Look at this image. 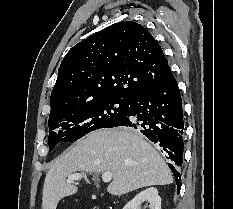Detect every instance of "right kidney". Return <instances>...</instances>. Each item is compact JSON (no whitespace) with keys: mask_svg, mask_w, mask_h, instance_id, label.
<instances>
[{"mask_svg":"<svg viewBox=\"0 0 233 209\" xmlns=\"http://www.w3.org/2000/svg\"><path fill=\"white\" fill-rule=\"evenodd\" d=\"M143 202H149L150 209H161V198L156 188H148L136 195L123 209H140Z\"/></svg>","mask_w":233,"mask_h":209,"instance_id":"obj_1","label":"right kidney"}]
</instances>
